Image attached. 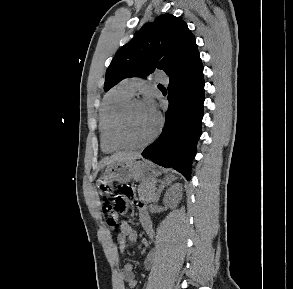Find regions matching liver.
Instances as JSON below:
<instances>
[{"instance_id": "6515ba94", "label": "liver", "mask_w": 293, "mask_h": 289, "mask_svg": "<svg viewBox=\"0 0 293 289\" xmlns=\"http://www.w3.org/2000/svg\"><path fill=\"white\" fill-rule=\"evenodd\" d=\"M140 158V154L132 152H118L102 160V166H110L116 162L132 161Z\"/></svg>"}]
</instances>
